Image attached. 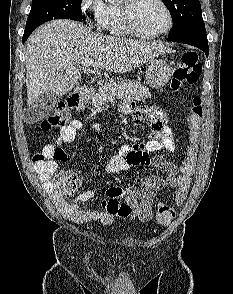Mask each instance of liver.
<instances>
[{
    "instance_id": "1",
    "label": "liver",
    "mask_w": 233,
    "mask_h": 294,
    "mask_svg": "<svg viewBox=\"0 0 233 294\" xmlns=\"http://www.w3.org/2000/svg\"><path fill=\"white\" fill-rule=\"evenodd\" d=\"M27 104L33 106L43 93L67 94L81 80L83 59L111 73H126L168 53L157 41L146 42L91 32L83 24L55 20L36 29L26 44Z\"/></svg>"
}]
</instances>
